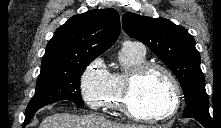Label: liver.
Returning <instances> with one entry per match:
<instances>
[{
    "instance_id": "liver-1",
    "label": "liver",
    "mask_w": 221,
    "mask_h": 128,
    "mask_svg": "<svg viewBox=\"0 0 221 128\" xmlns=\"http://www.w3.org/2000/svg\"><path fill=\"white\" fill-rule=\"evenodd\" d=\"M39 128H162V126L119 124L97 114L79 116L69 113H56L47 116L40 123Z\"/></svg>"
}]
</instances>
